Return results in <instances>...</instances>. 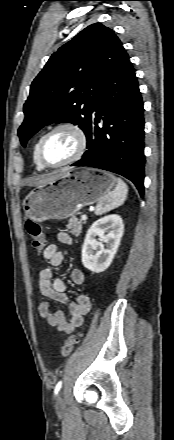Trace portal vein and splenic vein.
Instances as JSON below:
<instances>
[{
  "label": "portal vein and splenic vein",
  "mask_w": 174,
  "mask_h": 440,
  "mask_svg": "<svg viewBox=\"0 0 174 440\" xmlns=\"http://www.w3.org/2000/svg\"><path fill=\"white\" fill-rule=\"evenodd\" d=\"M81 219H82L83 221H86V220H87V216H86L85 214H83V215H81Z\"/></svg>",
  "instance_id": "1"
}]
</instances>
